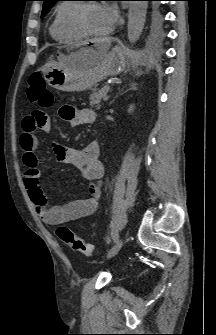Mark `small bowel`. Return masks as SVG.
Wrapping results in <instances>:
<instances>
[{"mask_svg":"<svg viewBox=\"0 0 216 335\" xmlns=\"http://www.w3.org/2000/svg\"><path fill=\"white\" fill-rule=\"evenodd\" d=\"M60 115L73 127L90 124L95 120L93 110L76 109L69 105L61 107ZM48 118L49 115L45 108H36L34 113H30L29 117L22 122L20 146L26 166L24 182L30 199L42 220L48 225H60L89 216L97 210L104 167L100 160V146L97 140H91L81 150L55 143L53 150L57 159L79 168L83 176L91 182V188L89 196L85 199L50 206L40 184L39 158L36 154L39 145L36 131L45 133L51 131L52 127Z\"/></svg>","mask_w":216,"mask_h":335,"instance_id":"c3829d8e","label":"small bowel"}]
</instances>
